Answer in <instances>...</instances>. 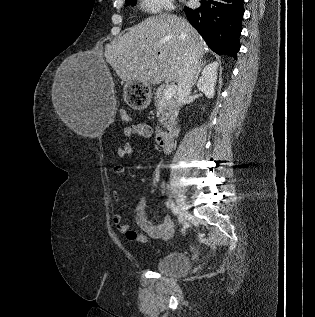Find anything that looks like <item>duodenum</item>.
I'll use <instances>...</instances> for the list:
<instances>
[{
	"label": "duodenum",
	"mask_w": 315,
	"mask_h": 317,
	"mask_svg": "<svg viewBox=\"0 0 315 317\" xmlns=\"http://www.w3.org/2000/svg\"><path fill=\"white\" fill-rule=\"evenodd\" d=\"M178 133V129L174 128L171 131H160L157 134V142L162 150L166 153H170L174 149L175 136Z\"/></svg>",
	"instance_id": "obj_1"
}]
</instances>
